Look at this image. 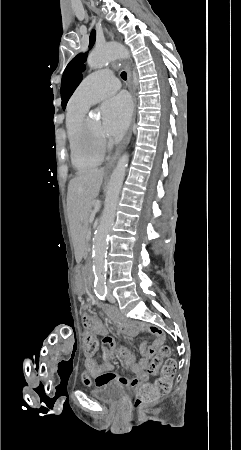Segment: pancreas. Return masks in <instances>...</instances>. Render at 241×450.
Here are the masks:
<instances>
[{
  "label": "pancreas",
  "instance_id": "cf45deb5",
  "mask_svg": "<svg viewBox=\"0 0 241 450\" xmlns=\"http://www.w3.org/2000/svg\"><path fill=\"white\" fill-rule=\"evenodd\" d=\"M87 231H90V230H85V238H86V240H88V238H89V236L87 234Z\"/></svg>",
  "mask_w": 241,
  "mask_h": 450
}]
</instances>
